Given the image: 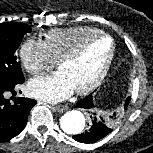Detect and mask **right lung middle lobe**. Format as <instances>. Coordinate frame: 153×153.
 <instances>
[{"instance_id":"obj_1","label":"right lung middle lobe","mask_w":153,"mask_h":153,"mask_svg":"<svg viewBox=\"0 0 153 153\" xmlns=\"http://www.w3.org/2000/svg\"><path fill=\"white\" fill-rule=\"evenodd\" d=\"M30 32L31 28L23 23L0 24V80L14 83L24 79L16 50L24 35Z\"/></svg>"}]
</instances>
